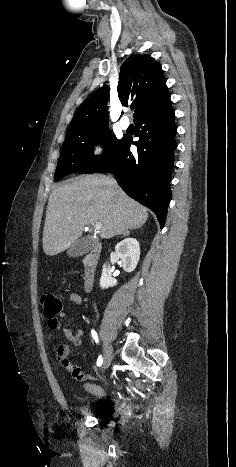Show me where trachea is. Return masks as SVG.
<instances>
[{
    "label": "trachea",
    "instance_id": "3493384b",
    "mask_svg": "<svg viewBox=\"0 0 236 467\" xmlns=\"http://www.w3.org/2000/svg\"><path fill=\"white\" fill-rule=\"evenodd\" d=\"M134 108H135L134 106H131V110H134Z\"/></svg>",
    "mask_w": 236,
    "mask_h": 467
}]
</instances>
